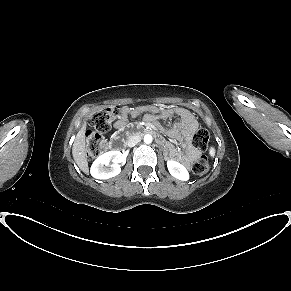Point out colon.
<instances>
[{
  "mask_svg": "<svg viewBox=\"0 0 291 291\" xmlns=\"http://www.w3.org/2000/svg\"><path fill=\"white\" fill-rule=\"evenodd\" d=\"M122 110L119 107H107L95 113L90 119V128L86 132L87 157L93 159L108 149V142L103 133L110 130L112 124L120 118ZM209 133L206 129L200 128L192 137L194 148L205 150L209 144ZM192 169L198 175L205 174L209 169V160L205 155H200L193 163Z\"/></svg>",
  "mask_w": 291,
  "mask_h": 291,
  "instance_id": "obj_1",
  "label": "colon"
}]
</instances>
